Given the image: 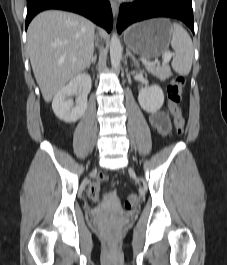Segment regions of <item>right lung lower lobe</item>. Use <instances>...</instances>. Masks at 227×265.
<instances>
[{
    "label": "right lung lower lobe",
    "mask_w": 227,
    "mask_h": 265,
    "mask_svg": "<svg viewBox=\"0 0 227 265\" xmlns=\"http://www.w3.org/2000/svg\"><path fill=\"white\" fill-rule=\"evenodd\" d=\"M47 9L79 13L108 32L112 29L113 17L110 3L107 0H27L26 29L36 14Z\"/></svg>",
    "instance_id": "1"
}]
</instances>
